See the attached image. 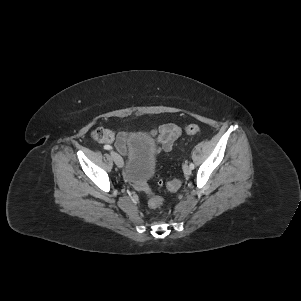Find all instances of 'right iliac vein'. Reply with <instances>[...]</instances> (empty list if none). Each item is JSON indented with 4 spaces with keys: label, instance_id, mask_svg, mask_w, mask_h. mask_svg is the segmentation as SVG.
<instances>
[{
    "label": "right iliac vein",
    "instance_id": "obj_1",
    "mask_svg": "<svg viewBox=\"0 0 301 301\" xmlns=\"http://www.w3.org/2000/svg\"><path fill=\"white\" fill-rule=\"evenodd\" d=\"M110 155H111L112 159L114 160L115 164L119 168H122L123 167V159L121 158V156L117 152H114V151H111Z\"/></svg>",
    "mask_w": 301,
    "mask_h": 301
}]
</instances>
